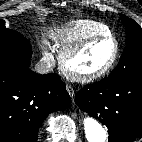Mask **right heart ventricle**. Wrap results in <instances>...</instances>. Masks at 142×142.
<instances>
[{"instance_id": "obj_1", "label": "right heart ventricle", "mask_w": 142, "mask_h": 142, "mask_svg": "<svg viewBox=\"0 0 142 142\" xmlns=\"http://www.w3.org/2000/svg\"><path fill=\"white\" fill-rule=\"evenodd\" d=\"M111 31L107 25L93 20H75L51 33L57 47L66 51L79 42L96 35H108Z\"/></svg>"}]
</instances>
